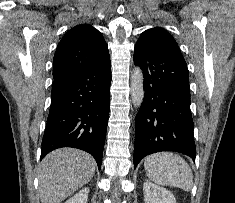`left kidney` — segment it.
<instances>
[{
    "label": "left kidney",
    "instance_id": "obj_1",
    "mask_svg": "<svg viewBox=\"0 0 235 203\" xmlns=\"http://www.w3.org/2000/svg\"><path fill=\"white\" fill-rule=\"evenodd\" d=\"M143 191L145 203H176L170 191L152 182H144Z\"/></svg>",
    "mask_w": 235,
    "mask_h": 203
}]
</instances>
